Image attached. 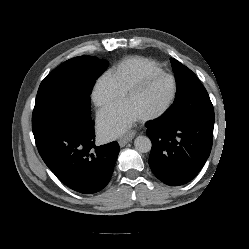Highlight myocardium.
<instances>
[{
  "label": "myocardium",
  "mask_w": 249,
  "mask_h": 249,
  "mask_svg": "<svg viewBox=\"0 0 249 249\" xmlns=\"http://www.w3.org/2000/svg\"><path fill=\"white\" fill-rule=\"evenodd\" d=\"M158 77H165L171 80L172 82V92L168 99V101L157 111H154L152 113L140 116V120L142 121H149L157 119L161 116H163L165 113L169 111V109L172 107V105L175 102L176 96H177V82L173 75L166 73V72H155L150 73L142 76L140 79H138L136 82H134L125 92L124 99H127L140 89H142L145 85H147L151 80L158 78Z\"/></svg>",
  "instance_id": "1"
}]
</instances>
